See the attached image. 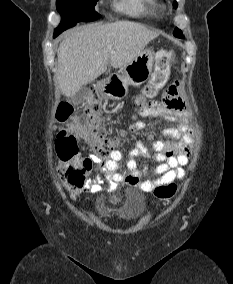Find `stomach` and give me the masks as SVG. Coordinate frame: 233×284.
I'll return each mask as SVG.
<instances>
[{
    "instance_id": "obj_1",
    "label": "stomach",
    "mask_w": 233,
    "mask_h": 284,
    "mask_svg": "<svg viewBox=\"0 0 233 284\" xmlns=\"http://www.w3.org/2000/svg\"><path fill=\"white\" fill-rule=\"evenodd\" d=\"M153 63L154 52L143 50L123 67L121 73L112 74L99 83L101 93L110 99H123L128 94L129 85L140 86L150 78Z\"/></svg>"
}]
</instances>
